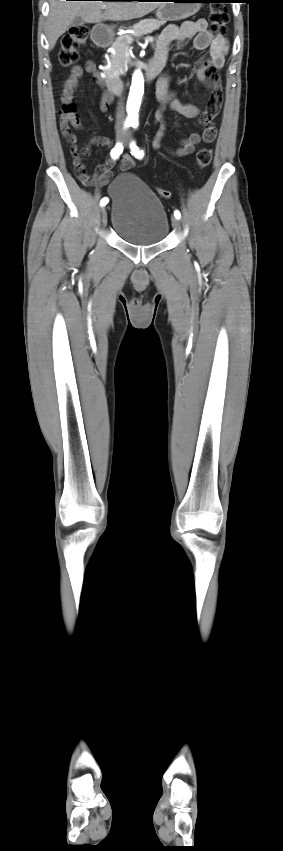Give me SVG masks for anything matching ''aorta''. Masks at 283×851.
<instances>
[{
  "label": "aorta",
  "instance_id": "762f6f07",
  "mask_svg": "<svg viewBox=\"0 0 283 851\" xmlns=\"http://www.w3.org/2000/svg\"><path fill=\"white\" fill-rule=\"evenodd\" d=\"M143 94L144 78L142 72L137 69L132 76V83L127 102L128 120L131 122L138 121V112Z\"/></svg>",
  "mask_w": 283,
  "mask_h": 851
}]
</instances>
